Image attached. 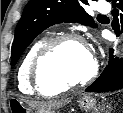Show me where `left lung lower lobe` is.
<instances>
[{
	"label": "left lung lower lobe",
	"instance_id": "1",
	"mask_svg": "<svg viewBox=\"0 0 123 113\" xmlns=\"http://www.w3.org/2000/svg\"><path fill=\"white\" fill-rule=\"evenodd\" d=\"M114 10L112 27L117 36L123 33V0L111 1ZM114 50H109V63L97 78L85 91L86 92H108L123 88V59L115 58Z\"/></svg>",
	"mask_w": 123,
	"mask_h": 113
}]
</instances>
